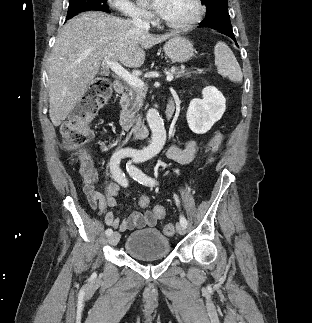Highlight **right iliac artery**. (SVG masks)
<instances>
[{
  "instance_id": "obj_1",
  "label": "right iliac artery",
  "mask_w": 312,
  "mask_h": 323,
  "mask_svg": "<svg viewBox=\"0 0 312 323\" xmlns=\"http://www.w3.org/2000/svg\"><path fill=\"white\" fill-rule=\"evenodd\" d=\"M129 156V154L126 151H117L115 152L112 157H111V161H110V170L111 173L114 177V179L122 186L127 187L128 186V180L125 176V174L119 169V163L121 158L127 157ZM136 161V159L134 160ZM131 162H128V165H130ZM113 233L111 228H108L105 231V234L107 236H110Z\"/></svg>"
}]
</instances>
